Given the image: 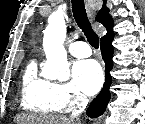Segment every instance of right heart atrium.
Returning a JSON list of instances; mask_svg holds the SVG:
<instances>
[{
	"label": "right heart atrium",
	"instance_id": "1",
	"mask_svg": "<svg viewBox=\"0 0 145 124\" xmlns=\"http://www.w3.org/2000/svg\"><path fill=\"white\" fill-rule=\"evenodd\" d=\"M53 99L62 112H70L86 103L84 95L73 82L53 83Z\"/></svg>",
	"mask_w": 145,
	"mask_h": 124
}]
</instances>
